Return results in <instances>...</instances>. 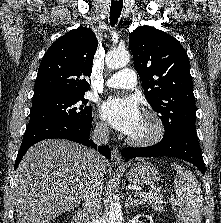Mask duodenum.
Segmentation results:
<instances>
[{
  "instance_id": "duodenum-1",
  "label": "duodenum",
  "mask_w": 221,
  "mask_h": 223,
  "mask_svg": "<svg viewBox=\"0 0 221 223\" xmlns=\"http://www.w3.org/2000/svg\"><path fill=\"white\" fill-rule=\"evenodd\" d=\"M72 223H84V214H83V209L79 208L72 220Z\"/></svg>"
}]
</instances>
